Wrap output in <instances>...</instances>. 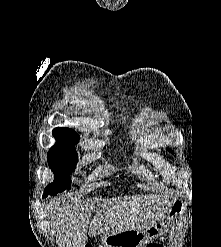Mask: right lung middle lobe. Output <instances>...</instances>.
Listing matches in <instances>:
<instances>
[{"label": "right lung middle lobe", "instance_id": "dd1d6c3e", "mask_svg": "<svg viewBox=\"0 0 221 247\" xmlns=\"http://www.w3.org/2000/svg\"><path fill=\"white\" fill-rule=\"evenodd\" d=\"M53 135L57 142L48 152V164L55 175V180L45 188V193L56 195L58 192L70 189L69 175L78 161L75 145L80 138L54 133Z\"/></svg>", "mask_w": 221, "mask_h": 247}]
</instances>
